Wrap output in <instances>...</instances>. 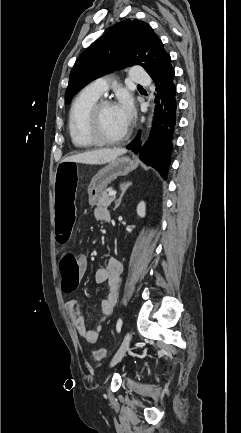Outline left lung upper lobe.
<instances>
[{"label":"left lung upper lobe","instance_id":"left-lung-upper-lobe-1","mask_svg":"<svg viewBox=\"0 0 241 433\" xmlns=\"http://www.w3.org/2000/svg\"><path fill=\"white\" fill-rule=\"evenodd\" d=\"M170 62V55L149 24L136 19L122 21L76 60L65 101L69 102L85 84L114 70L138 64L154 80L164 74L171 66Z\"/></svg>","mask_w":241,"mask_h":433}]
</instances>
